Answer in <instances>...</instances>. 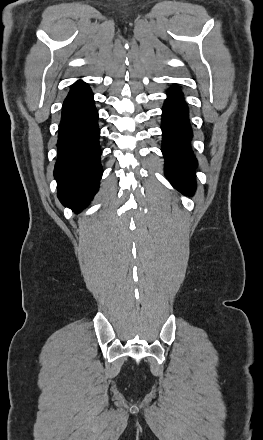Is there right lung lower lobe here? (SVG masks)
I'll use <instances>...</instances> for the list:
<instances>
[{"label": "right lung lower lobe", "instance_id": "obj_1", "mask_svg": "<svg viewBox=\"0 0 263 440\" xmlns=\"http://www.w3.org/2000/svg\"><path fill=\"white\" fill-rule=\"evenodd\" d=\"M97 120L92 91L79 80L63 103L54 170L58 198L76 213L88 206L102 176Z\"/></svg>", "mask_w": 263, "mask_h": 440}]
</instances>
